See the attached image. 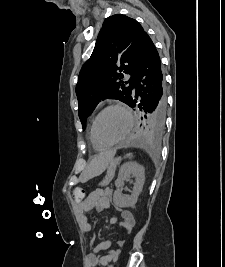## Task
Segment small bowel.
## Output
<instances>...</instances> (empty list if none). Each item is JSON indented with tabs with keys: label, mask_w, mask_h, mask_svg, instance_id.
Returning a JSON list of instances; mask_svg holds the SVG:
<instances>
[{
	"label": "small bowel",
	"mask_w": 225,
	"mask_h": 267,
	"mask_svg": "<svg viewBox=\"0 0 225 267\" xmlns=\"http://www.w3.org/2000/svg\"><path fill=\"white\" fill-rule=\"evenodd\" d=\"M112 196V190L107 188L105 190L97 189L91 192L88 198L82 203H75L74 209L78 216V219L82 225V230L85 233L91 231V225L87 221L86 212L95 209L97 211H102L110 206V200ZM121 219L112 217L110 223L114 226L120 227L125 233L129 234L132 232L135 226V219L133 214L127 209H118ZM118 246L121 247L124 244L123 240L117 242ZM111 247V241H103L98 244L93 251L88 254L86 259L87 267H107L108 263L112 260H117L120 249L114 248L110 249L105 255H97L99 251L107 250Z\"/></svg>",
	"instance_id": "small-bowel-1"
}]
</instances>
